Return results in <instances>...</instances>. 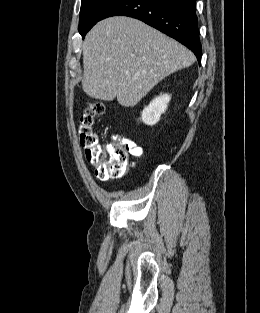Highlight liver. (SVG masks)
I'll return each instance as SVG.
<instances>
[{
  "label": "liver",
  "mask_w": 260,
  "mask_h": 313,
  "mask_svg": "<svg viewBox=\"0 0 260 313\" xmlns=\"http://www.w3.org/2000/svg\"><path fill=\"white\" fill-rule=\"evenodd\" d=\"M82 89L91 98L135 106L159 81L195 62L194 54L130 17L98 22L83 42Z\"/></svg>",
  "instance_id": "1"
}]
</instances>
